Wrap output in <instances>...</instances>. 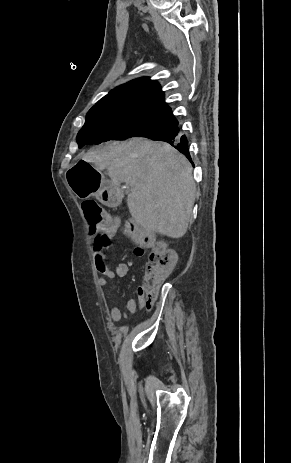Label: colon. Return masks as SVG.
Segmentation results:
<instances>
[{
  "instance_id": "colon-1",
  "label": "colon",
  "mask_w": 291,
  "mask_h": 463,
  "mask_svg": "<svg viewBox=\"0 0 291 463\" xmlns=\"http://www.w3.org/2000/svg\"><path fill=\"white\" fill-rule=\"evenodd\" d=\"M82 210L93 233L106 231L112 234L118 230L119 226L113 216L95 200H85L82 203ZM122 232L144 251L150 250L143 285L147 297L146 305L147 308H150L160 283L176 265V253L172 249L156 243L151 233L134 221H127L122 227Z\"/></svg>"
}]
</instances>
